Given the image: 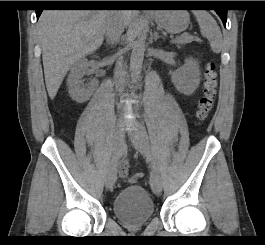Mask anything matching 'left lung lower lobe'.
<instances>
[{
	"label": "left lung lower lobe",
	"instance_id": "0a47b994",
	"mask_svg": "<svg viewBox=\"0 0 265 245\" xmlns=\"http://www.w3.org/2000/svg\"><path fill=\"white\" fill-rule=\"evenodd\" d=\"M184 2H188V1H184ZM194 2H199V1H194ZM160 3L161 4H164V5H170V6H178L179 5V1H162ZM183 4H186L187 5V3H183ZM195 5H199V4L197 3ZM215 11L219 15V17L221 18L223 24L226 26L227 9H217Z\"/></svg>",
	"mask_w": 265,
	"mask_h": 245
}]
</instances>
